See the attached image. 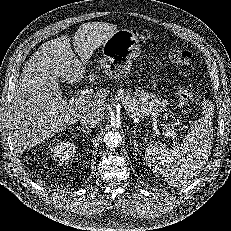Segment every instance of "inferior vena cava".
Masks as SVG:
<instances>
[{
    "instance_id": "602c4592",
    "label": "inferior vena cava",
    "mask_w": 231,
    "mask_h": 231,
    "mask_svg": "<svg viewBox=\"0 0 231 231\" xmlns=\"http://www.w3.org/2000/svg\"><path fill=\"white\" fill-rule=\"evenodd\" d=\"M98 123L99 120L92 113H86L80 119V124L86 129L93 128Z\"/></svg>"
}]
</instances>
